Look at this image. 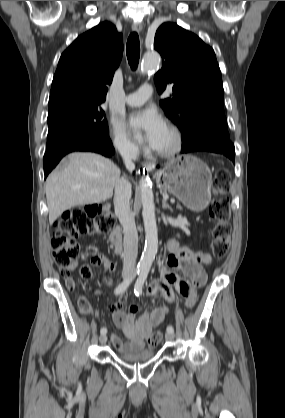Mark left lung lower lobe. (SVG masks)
Wrapping results in <instances>:
<instances>
[{
    "label": "left lung lower lobe",
    "instance_id": "1",
    "mask_svg": "<svg viewBox=\"0 0 285 418\" xmlns=\"http://www.w3.org/2000/svg\"><path fill=\"white\" fill-rule=\"evenodd\" d=\"M194 151H209L220 153L235 160V148L230 139H223L219 137H211L198 140L187 146H182L181 153H189Z\"/></svg>",
    "mask_w": 285,
    "mask_h": 418
}]
</instances>
